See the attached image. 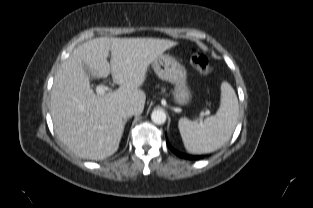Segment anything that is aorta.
<instances>
[{"label":"aorta","mask_w":313,"mask_h":208,"mask_svg":"<svg viewBox=\"0 0 313 208\" xmlns=\"http://www.w3.org/2000/svg\"><path fill=\"white\" fill-rule=\"evenodd\" d=\"M151 119L155 124H164L166 122V113L161 109H156L152 112Z\"/></svg>","instance_id":"762f6f07"}]
</instances>
